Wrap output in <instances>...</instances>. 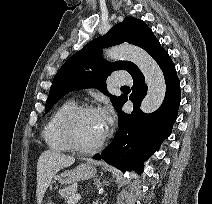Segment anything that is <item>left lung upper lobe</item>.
<instances>
[{"instance_id":"left-lung-upper-lobe-1","label":"left lung upper lobe","mask_w":212,"mask_h":204,"mask_svg":"<svg viewBox=\"0 0 212 204\" xmlns=\"http://www.w3.org/2000/svg\"><path fill=\"white\" fill-rule=\"evenodd\" d=\"M124 42L143 48L152 57L163 49L152 30L142 20L126 17L123 22L115 25L106 35L89 42L63 64L53 79L45 112H48L68 92L89 87H95L111 96V101L117 109L126 96L111 95L106 90L107 77L115 70L124 69L131 76L140 70L129 61L107 62L102 58L101 53L102 48Z\"/></svg>"}]
</instances>
